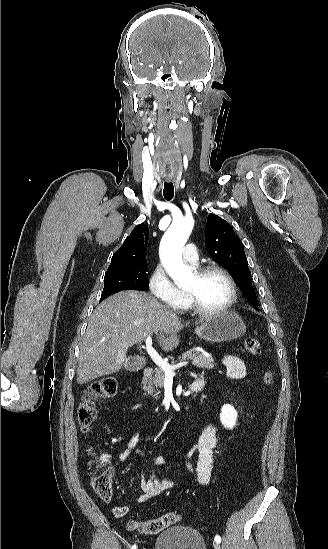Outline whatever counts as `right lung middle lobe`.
<instances>
[{
	"mask_svg": "<svg viewBox=\"0 0 328 549\" xmlns=\"http://www.w3.org/2000/svg\"><path fill=\"white\" fill-rule=\"evenodd\" d=\"M147 261H138L105 273L100 301L122 290H145L149 287Z\"/></svg>",
	"mask_w": 328,
	"mask_h": 549,
	"instance_id": "1",
	"label": "right lung middle lobe"
}]
</instances>
